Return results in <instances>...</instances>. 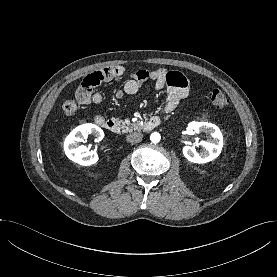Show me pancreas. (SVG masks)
<instances>
[{
  "label": "pancreas",
  "instance_id": "cf45deb5",
  "mask_svg": "<svg viewBox=\"0 0 277 277\" xmlns=\"http://www.w3.org/2000/svg\"><path fill=\"white\" fill-rule=\"evenodd\" d=\"M117 123L119 126H121V128L123 129V132L126 131H132V130H140L142 128V125L137 122V123H130L129 121H123V120H119L116 119Z\"/></svg>",
  "mask_w": 277,
  "mask_h": 277
}]
</instances>
